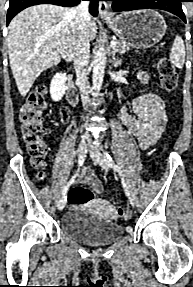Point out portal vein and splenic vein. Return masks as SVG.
<instances>
[{
	"label": "portal vein and splenic vein",
	"mask_w": 193,
	"mask_h": 287,
	"mask_svg": "<svg viewBox=\"0 0 193 287\" xmlns=\"http://www.w3.org/2000/svg\"><path fill=\"white\" fill-rule=\"evenodd\" d=\"M116 45H117V43H116L115 41H112V42L110 43V46H111L112 48H115ZM53 47H56V44H54Z\"/></svg>",
	"instance_id": "portal-vein-and-splenic-vein-1"
}]
</instances>
